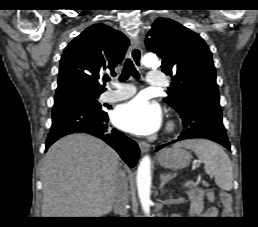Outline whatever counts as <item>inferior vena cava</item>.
Returning <instances> with one entry per match:
<instances>
[{
    "mask_svg": "<svg viewBox=\"0 0 258 227\" xmlns=\"http://www.w3.org/2000/svg\"><path fill=\"white\" fill-rule=\"evenodd\" d=\"M128 199L129 191L125 173L122 170H118L115 176L114 206L121 217H127Z\"/></svg>",
    "mask_w": 258,
    "mask_h": 227,
    "instance_id": "obj_1",
    "label": "inferior vena cava"
}]
</instances>
